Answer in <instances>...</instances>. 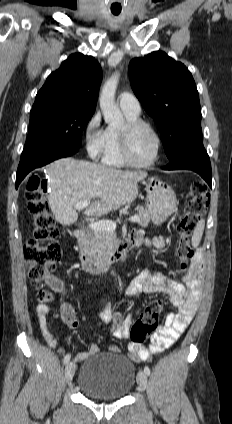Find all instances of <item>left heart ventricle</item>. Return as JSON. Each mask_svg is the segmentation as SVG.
<instances>
[{"instance_id":"obj_1","label":"left heart ventricle","mask_w":232,"mask_h":424,"mask_svg":"<svg viewBox=\"0 0 232 424\" xmlns=\"http://www.w3.org/2000/svg\"><path fill=\"white\" fill-rule=\"evenodd\" d=\"M156 140L154 135L146 128L135 131L130 141V153L133 160L147 162L155 154Z\"/></svg>"}]
</instances>
